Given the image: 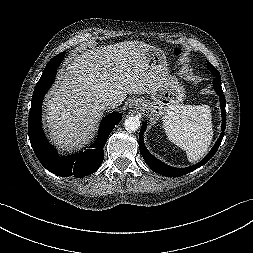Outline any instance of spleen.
Segmentation results:
<instances>
[{
	"label": "spleen",
	"mask_w": 253,
	"mask_h": 253,
	"mask_svg": "<svg viewBox=\"0 0 253 253\" xmlns=\"http://www.w3.org/2000/svg\"><path fill=\"white\" fill-rule=\"evenodd\" d=\"M211 109L208 105L175 107L163 126L168 139L186 151L190 162L201 159L213 138Z\"/></svg>",
	"instance_id": "3e777b00"
}]
</instances>
